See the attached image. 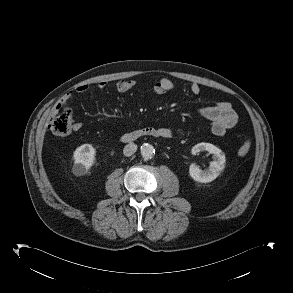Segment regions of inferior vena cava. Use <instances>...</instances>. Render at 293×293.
I'll list each match as a JSON object with an SVG mask.
<instances>
[{
    "label": "inferior vena cava",
    "instance_id": "inferior-vena-cava-1",
    "mask_svg": "<svg viewBox=\"0 0 293 293\" xmlns=\"http://www.w3.org/2000/svg\"><path fill=\"white\" fill-rule=\"evenodd\" d=\"M137 150V145L130 142L129 144H127L124 149H123V153L125 156L129 157L131 155H133Z\"/></svg>",
    "mask_w": 293,
    "mask_h": 293
}]
</instances>
